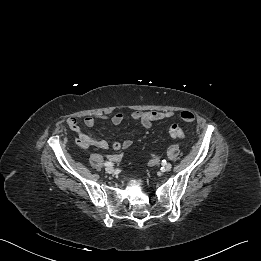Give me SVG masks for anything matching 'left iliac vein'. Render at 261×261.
Instances as JSON below:
<instances>
[{
	"mask_svg": "<svg viewBox=\"0 0 261 261\" xmlns=\"http://www.w3.org/2000/svg\"><path fill=\"white\" fill-rule=\"evenodd\" d=\"M171 168H172V165L170 163H168V164L164 165L162 170H163V172H168L171 170Z\"/></svg>",
	"mask_w": 261,
	"mask_h": 261,
	"instance_id": "4c4485c4",
	"label": "left iliac vein"
}]
</instances>
